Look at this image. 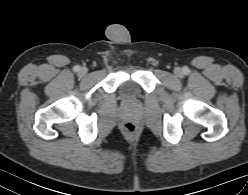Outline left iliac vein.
<instances>
[{
	"label": "left iliac vein",
	"mask_w": 248,
	"mask_h": 195,
	"mask_svg": "<svg viewBox=\"0 0 248 195\" xmlns=\"http://www.w3.org/2000/svg\"><path fill=\"white\" fill-rule=\"evenodd\" d=\"M175 74H176L178 77H180V76L182 75L181 69H180V68H177V69L175 70Z\"/></svg>",
	"instance_id": "left-iliac-vein-1"
}]
</instances>
